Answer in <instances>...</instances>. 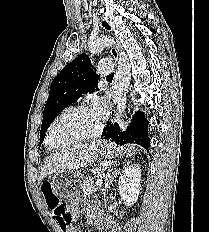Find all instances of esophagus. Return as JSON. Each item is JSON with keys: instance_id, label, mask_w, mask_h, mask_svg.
I'll list each match as a JSON object with an SVG mask.
<instances>
[{"instance_id": "34e87169", "label": "esophagus", "mask_w": 209, "mask_h": 232, "mask_svg": "<svg viewBox=\"0 0 209 232\" xmlns=\"http://www.w3.org/2000/svg\"><path fill=\"white\" fill-rule=\"evenodd\" d=\"M110 52H111V55L114 58L115 62H117L118 57H119L117 48L115 46L111 47Z\"/></svg>"}]
</instances>
